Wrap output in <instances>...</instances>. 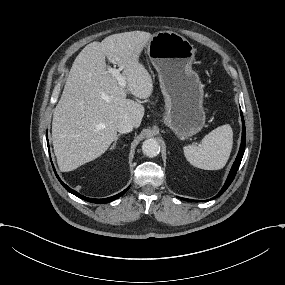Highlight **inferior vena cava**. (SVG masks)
<instances>
[{"label": "inferior vena cava", "instance_id": "602c4592", "mask_svg": "<svg viewBox=\"0 0 285 285\" xmlns=\"http://www.w3.org/2000/svg\"><path fill=\"white\" fill-rule=\"evenodd\" d=\"M133 126L129 121L123 120L117 124V131L120 133H128L132 131Z\"/></svg>", "mask_w": 285, "mask_h": 285}]
</instances>
